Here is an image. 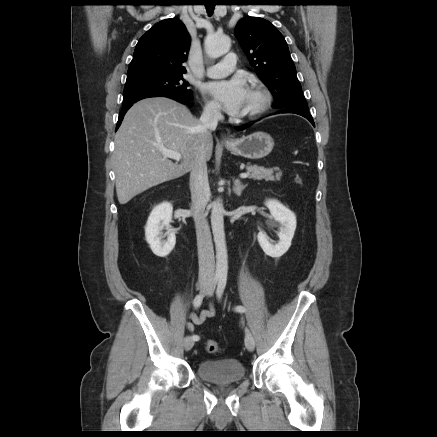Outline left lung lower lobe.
Returning a JSON list of instances; mask_svg holds the SVG:
<instances>
[{"instance_id":"1","label":"left lung lower lobe","mask_w":437,"mask_h":437,"mask_svg":"<svg viewBox=\"0 0 437 437\" xmlns=\"http://www.w3.org/2000/svg\"><path fill=\"white\" fill-rule=\"evenodd\" d=\"M279 113H294V114L301 115V116L305 117L306 119H308L313 126H315L313 118L309 114V112H305V111L298 110V109H284V110H281ZM249 126H251V125L247 124V125L240 126L237 129L244 130V129L248 128Z\"/></svg>"}]
</instances>
